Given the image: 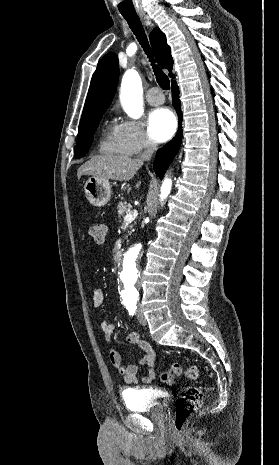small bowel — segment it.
Listing matches in <instances>:
<instances>
[{"instance_id": "small-bowel-1", "label": "small bowel", "mask_w": 279, "mask_h": 465, "mask_svg": "<svg viewBox=\"0 0 279 465\" xmlns=\"http://www.w3.org/2000/svg\"><path fill=\"white\" fill-rule=\"evenodd\" d=\"M93 305L100 307L104 303L105 293L103 289L96 288L93 291ZM101 330L107 342L111 341V337L115 331V325L108 321L101 323ZM129 343L138 345L143 354L139 357L136 364H124L120 354L111 349L109 352V359L111 364L115 367L117 373L123 377L125 384L132 385L138 383L137 373L140 367H147V371L142 378L144 383H151L156 378L155 365L156 353L151 344L146 341L139 332H131L126 336Z\"/></svg>"}]
</instances>
